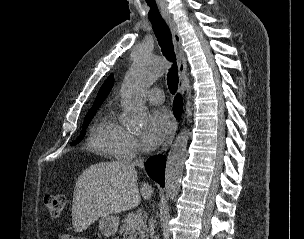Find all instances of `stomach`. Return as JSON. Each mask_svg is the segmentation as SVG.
<instances>
[{"mask_svg":"<svg viewBox=\"0 0 304 239\" xmlns=\"http://www.w3.org/2000/svg\"><path fill=\"white\" fill-rule=\"evenodd\" d=\"M119 226V218L113 215L102 216L99 221V230L103 236H113Z\"/></svg>","mask_w":304,"mask_h":239,"instance_id":"obj_1","label":"stomach"}]
</instances>
